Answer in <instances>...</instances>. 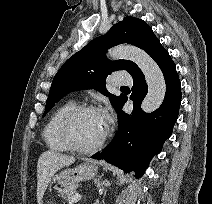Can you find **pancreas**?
<instances>
[{
  "mask_svg": "<svg viewBox=\"0 0 212 204\" xmlns=\"http://www.w3.org/2000/svg\"><path fill=\"white\" fill-rule=\"evenodd\" d=\"M77 188H78V185L74 184V185L65 187L64 189H60L58 192L62 198H64L66 201H69L71 199L72 195L76 194Z\"/></svg>",
  "mask_w": 212,
  "mask_h": 204,
  "instance_id": "1",
  "label": "pancreas"
}]
</instances>
